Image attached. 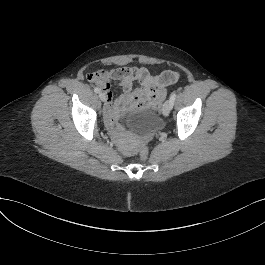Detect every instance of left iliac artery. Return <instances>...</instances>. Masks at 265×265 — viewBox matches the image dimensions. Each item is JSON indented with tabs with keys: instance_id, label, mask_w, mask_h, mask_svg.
Wrapping results in <instances>:
<instances>
[{
	"instance_id": "obj_1",
	"label": "left iliac artery",
	"mask_w": 265,
	"mask_h": 265,
	"mask_svg": "<svg viewBox=\"0 0 265 265\" xmlns=\"http://www.w3.org/2000/svg\"><path fill=\"white\" fill-rule=\"evenodd\" d=\"M176 96H177L176 92L172 93L171 96H170L169 101H170V104H171V109H172L173 104L175 102Z\"/></svg>"
}]
</instances>
